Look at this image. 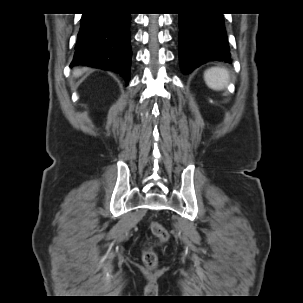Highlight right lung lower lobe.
<instances>
[{
	"label": "right lung lower lobe",
	"instance_id": "right-lung-lower-lobe-1",
	"mask_svg": "<svg viewBox=\"0 0 303 303\" xmlns=\"http://www.w3.org/2000/svg\"><path fill=\"white\" fill-rule=\"evenodd\" d=\"M131 16L126 13L90 12L81 19L74 58L70 65H88L130 79Z\"/></svg>",
	"mask_w": 303,
	"mask_h": 303
}]
</instances>
